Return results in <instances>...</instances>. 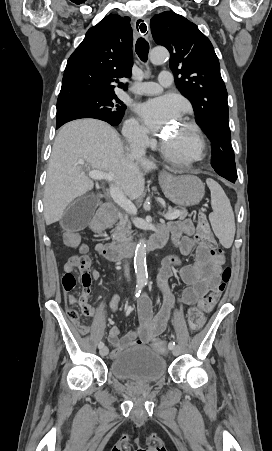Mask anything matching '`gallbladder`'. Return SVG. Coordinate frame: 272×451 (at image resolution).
<instances>
[{
  "instance_id": "1",
  "label": "gallbladder",
  "mask_w": 272,
  "mask_h": 451,
  "mask_svg": "<svg viewBox=\"0 0 272 451\" xmlns=\"http://www.w3.org/2000/svg\"><path fill=\"white\" fill-rule=\"evenodd\" d=\"M99 198L94 194L89 196H81L75 202H72L66 208L61 220L60 226L63 229H71V231H79L84 229L91 222L97 206H99Z\"/></svg>"
}]
</instances>
